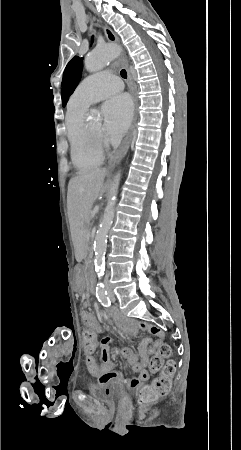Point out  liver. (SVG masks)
<instances>
[{
	"mask_svg": "<svg viewBox=\"0 0 241 450\" xmlns=\"http://www.w3.org/2000/svg\"><path fill=\"white\" fill-rule=\"evenodd\" d=\"M107 170H93V172H78L71 178L68 186L69 218L74 228L76 240L82 244V226L89 222L91 208L97 200L105 194L107 184L105 176Z\"/></svg>",
	"mask_w": 241,
	"mask_h": 450,
	"instance_id": "obj_1",
	"label": "liver"
}]
</instances>
